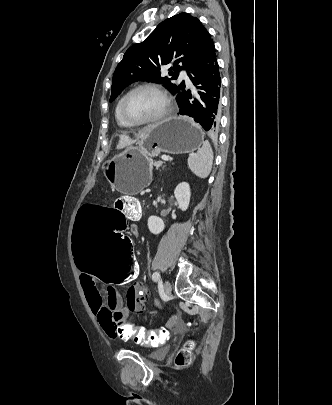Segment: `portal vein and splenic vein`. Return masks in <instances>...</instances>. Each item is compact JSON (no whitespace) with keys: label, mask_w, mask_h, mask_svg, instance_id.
<instances>
[{"label":"portal vein and splenic vein","mask_w":332,"mask_h":405,"mask_svg":"<svg viewBox=\"0 0 332 405\" xmlns=\"http://www.w3.org/2000/svg\"><path fill=\"white\" fill-rule=\"evenodd\" d=\"M161 158H162V160H164V161H168V160H169V157H168V156H162Z\"/></svg>","instance_id":"obj_1"}]
</instances>
